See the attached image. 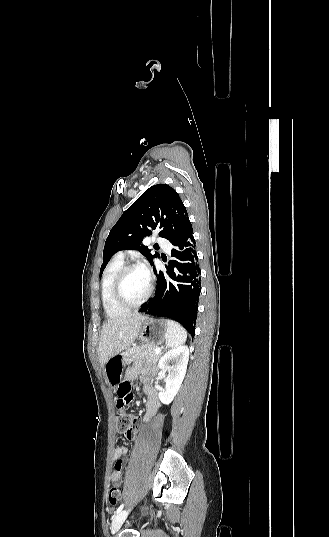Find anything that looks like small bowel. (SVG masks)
I'll return each mask as SVG.
<instances>
[{
  "instance_id": "small-bowel-1",
  "label": "small bowel",
  "mask_w": 329,
  "mask_h": 537,
  "mask_svg": "<svg viewBox=\"0 0 329 537\" xmlns=\"http://www.w3.org/2000/svg\"><path fill=\"white\" fill-rule=\"evenodd\" d=\"M135 375L133 370H129L127 377H122L117 389V400L116 408L119 411L124 410L125 406H130L134 402L136 393L131 389L133 385L132 377ZM144 392L147 395V405L146 413L144 420L148 421L154 416L158 407L159 399L157 391L150 386L144 388ZM138 433V421H135L131 429L126 432L125 437L128 440H134ZM127 453L125 447L119 446L114 450L113 458L115 461L114 470L111 474V481L116 485L120 486L123 481V469L126 464V459L124 458Z\"/></svg>"
}]
</instances>
